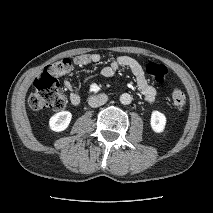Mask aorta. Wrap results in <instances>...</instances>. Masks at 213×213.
I'll list each match as a JSON object with an SVG mask.
<instances>
[{"label":"aorta","mask_w":213,"mask_h":213,"mask_svg":"<svg viewBox=\"0 0 213 213\" xmlns=\"http://www.w3.org/2000/svg\"><path fill=\"white\" fill-rule=\"evenodd\" d=\"M120 102L124 105H128L132 102V97L130 94L128 93H123L121 96H120Z\"/></svg>","instance_id":"1"}]
</instances>
